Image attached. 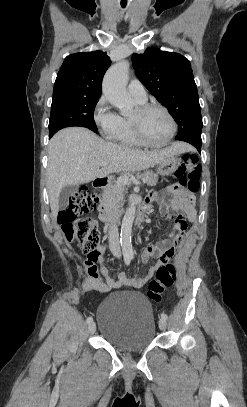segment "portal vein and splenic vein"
Wrapping results in <instances>:
<instances>
[{
	"label": "portal vein and splenic vein",
	"mask_w": 247,
	"mask_h": 407,
	"mask_svg": "<svg viewBox=\"0 0 247 407\" xmlns=\"http://www.w3.org/2000/svg\"><path fill=\"white\" fill-rule=\"evenodd\" d=\"M105 165H107V162H103V163L101 164V166H105ZM128 181H129V177H127V176H120V177L118 178V182H121V183H123V184H127ZM142 181H143V183H145V182H146V179H142Z\"/></svg>",
	"instance_id": "portal-vein-and-splenic-vein-1"
}]
</instances>
